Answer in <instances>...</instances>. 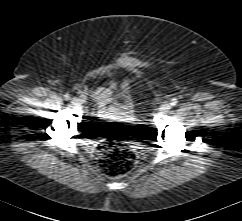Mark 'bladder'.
<instances>
[{
  "label": "bladder",
  "instance_id": "1",
  "mask_svg": "<svg viewBox=\"0 0 242 221\" xmlns=\"http://www.w3.org/2000/svg\"><path fill=\"white\" fill-rule=\"evenodd\" d=\"M116 106L124 111L131 112L133 109L125 103H117Z\"/></svg>",
  "mask_w": 242,
  "mask_h": 221
}]
</instances>
